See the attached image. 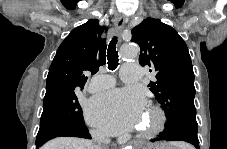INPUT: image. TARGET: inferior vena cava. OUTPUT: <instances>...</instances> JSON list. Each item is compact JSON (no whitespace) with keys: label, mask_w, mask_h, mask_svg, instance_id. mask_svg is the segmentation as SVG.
Here are the masks:
<instances>
[{"label":"inferior vena cava","mask_w":227,"mask_h":149,"mask_svg":"<svg viewBox=\"0 0 227 149\" xmlns=\"http://www.w3.org/2000/svg\"><path fill=\"white\" fill-rule=\"evenodd\" d=\"M92 136L95 140L101 141V142H108L109 139L102 133L93 131Z\"/></svg>","instance_id":"inferior-vena-cava-1"}]
</instances>
